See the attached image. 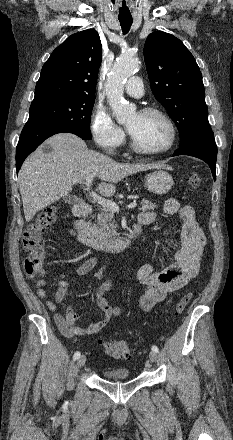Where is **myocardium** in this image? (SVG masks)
<instances>
[{
  "instance_id": "f54148a6",
  "label": "myocardium",
  "mask_w": 233,
  "mask_h": 440,
  "mask_svg": "<svg viewBox=\"0 0 233 440\" xmlns=\"http://www.w3.org/2000/svg\"><path fill=\"white\" fill-rule=\"evenodd\" d=\"M140 114H146V115H158L160 116L168 125L169 129H170V139L168 144L158 150H148L145 149L144 147H142L137 140L135 139V137L132 135V133L129 131L128 129V133H129V137H130V144H131V148L139 154L142 155H146V156H158V155H162L168 151H170L177 140V129L176 126L173 122V120L171 119V117L162 109L157 108V107H145L143 109H141L139 111Z\"/></svg>"
}]
</instances>
